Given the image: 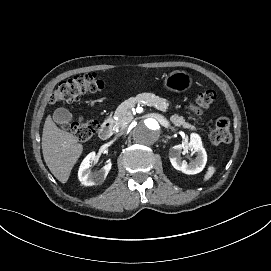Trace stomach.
<instances>
[{
  "label": "stomach",
  "mask_w": 271,
  "mask_h": 271,
  "mask_svg": "<svg viewBox=\"0 0 271 271\" xmlns=\"http://www.w3.org/2000/svg\"><path fill=\"white\" fill-rule=\"evenodd\" d=\"M191 84V78L184 72H174L167 77L166 86L175 91H183Z\"/></svg>",
  "instance_id": "1"
}]
</instances>
